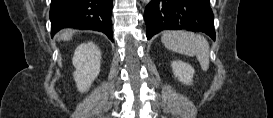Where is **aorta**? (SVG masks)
<instances>
[{
    "label": "aorta",
    "instance_id": "762f6f07",
    "mask_svg": "<svg viewBox=\"0 0 273 118\" xmlns=\"http://www.w3.org/2000/svg\"><path fill=\"white\" fill-rule=\"evenodd\" d=\"M143 2H146V3H147V2H149V0H143Z\"/></svg>",
    "mask_w": 273,
    "mask_h": 118
}]
</instances>
